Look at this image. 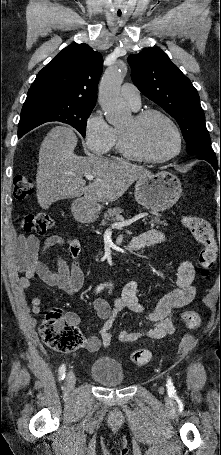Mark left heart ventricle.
<instances>
[{"mask_svg": "<svg viewBox=\"0 0 221 455\" xmlns=\"http://www.w3.org/2000/svg\"><path fill=\"white\" fill-rule=\"evenodd\" d=\"M121 129L130 134L134 148L147 156L165 157L176 149L174 132L161 117L152 116L139 125L131 118Z\"/></svg>", "mask_w": 221, "mask_h": 455, "instance_id": "1", "label": "left heart ventricle"}]
</instances>
